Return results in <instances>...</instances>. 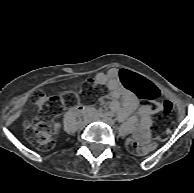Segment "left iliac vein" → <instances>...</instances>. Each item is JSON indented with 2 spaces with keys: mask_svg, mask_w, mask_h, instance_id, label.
Returning a JSON list of instances; mask_svg holds the SVG:
<instances>
[{
  "mask_svg": "<svg viewBox=\"0 0 194 193\" xmlns=\"http://www.w3.org/2000/svg\"><path fill=\"white\" fill-rule=\"evenodd\" d=\"M95 120H97V119H95ZM103 121H104L106 124L110 125V126H113V125L115 124V121L112 120L111 118H108V117L104 118Z\"/></svg>",
  "mask_w": 194,
  "mask_h": 193,
  "instance_id": "1",
  "label": "left iliac vein"
}]
</instances>
